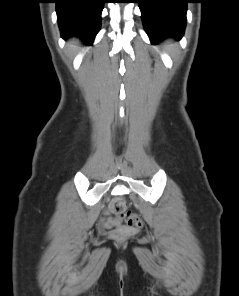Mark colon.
<instances>
[{
	"label": "colon",
	"mask_w": 239,
	"mask_h": 296,
	"mask_svg": "<svg viewBox=\"0 0 239 296\" xmlns=\"http://www.w3.org/2000/svg\"><path fill=\"white\" fill-rule=\"evenodd\" d=\"M109 210L116 216V224L125 222L128 226L133 228H139L142 226V220L139 215L128 212L126 201L121 197L114 198L110 202Z\"/></svg>",
	"instance_id": "colon-1"
}]
</instances>
